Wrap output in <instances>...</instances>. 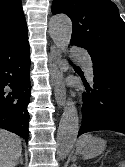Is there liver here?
<instances>
[{"mask_svg": "<svg viewBox=\"0 0 125 167\" xmlns=\"http://www.w3.org/2000/svg\"><path fill=\"white\" fill-rule=\"evenodd\" d=\"M21 153V138L0 129V167H15Z\"/></svg>", "mask_w": 125, "mask_h": 167, "instance_id": "1", "label": "liver"}]
</instances>
